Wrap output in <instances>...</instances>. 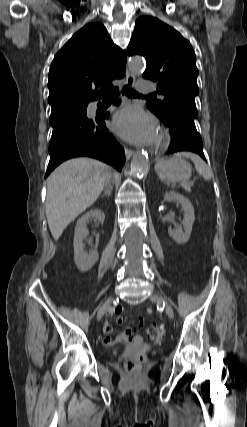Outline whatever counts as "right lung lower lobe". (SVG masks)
<instances>
[{
	"mask_svg": "<svg viewBox=\"0 0 247 427\" xmlns=\"http://www.w3.org/2000/svg\"><path fill=\"white\" fill-rule=\"evenodd\" d=\"M86 107L51 111L50 124L53 132L49 143L50 161L45 177L63 161L82 156L99 159L121 171L125 153L106 128L105 120L109 118V113L89 118Z\"/></svg>",
	"mask_w": 247,
	"mask_h": 427,
	"instance_id": "1",
	"label": "right lung lower lobe"
}]
</instances>
